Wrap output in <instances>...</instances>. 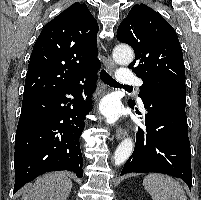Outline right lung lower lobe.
<instances>
[{"instance_id":"98d812e1","label":"right lung lower lobe","mask_w":201,"mask_h":200,"mask_svg":"<svg viewBox=\"0 0 201 200\" xmlns=\"http://www.w3.org/2000/svg\"><path fill=\"white\" fill-rule=\"evenodd\" d=\"M96 74L88 75L65 91L22 102L15 136L13 193L50 171L69 170L79 178L83 176L79 139L84 130L85 115L91 109ZM66 94L73 95L75 99L62 107L61 103L70 101ZM71 104L73 108H70Z\"/></svg>"}]
</instances>
